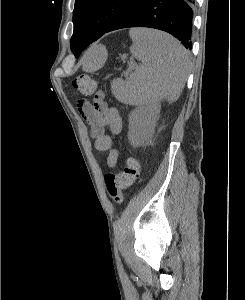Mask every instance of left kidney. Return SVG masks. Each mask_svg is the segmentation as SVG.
Wrapping results in <instances>:
<instances>
[{
    "label": "left kidney",
    "mask_w": 245,
    "mask_h": 300,
    "mask_svg": "<svg viewBox=\"0 0 245 300\" xmlns=\"http://www.w3.org/2000/svg\"><path fill=\"white\" fill-rule=\"evenodd\" d=\"M159 112L157 106H146L136 108L130 113L128 139L132 145H140L152 135Z\"/></svg>",
    "instance_id": "obj_1"
}]
</instances>
